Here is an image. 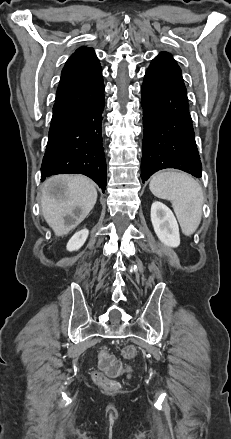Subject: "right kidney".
<instances>
[{"label":"right kidney","mask_w":231,"mask_h":439,"mask_svg":"<svg viewBox=\"0 0 231 439\" xmlns=\"http://www.w3.org/2000/svg\"><path fill=\"white\" fill-rule=\"evenodd\" d=\"M89 231L87 229L80 230L79 232L75 233L72 238L67 243V250L68 251H76L80 249L83 244L85 243L87 237H88Z\"/></svg>","instance_id":"1"}]
</instances>
